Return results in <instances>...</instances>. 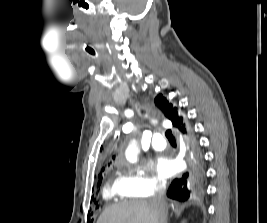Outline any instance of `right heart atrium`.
<instances>
[{
  "instance_id": "right-heart-atrium-1",
  "label": "right heart atrium",
  "mask_w": 267,
  "mask_h": 223,
  "mask_svg": "<svg viewBox=\"0 0 267 223\" xmlns=\"http://www.w3.org/2000/svg\"><path fill=\"white\" fill-rule=\"evenodd\" d=\"M121 184L129 195L139 197L153 196L165 187L164 180L145 167L129 168L121 177Z\"/></svg>"
}]
</instances>
